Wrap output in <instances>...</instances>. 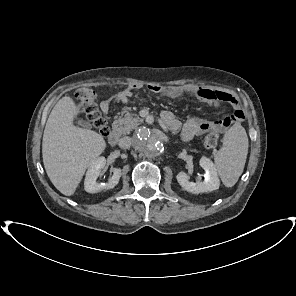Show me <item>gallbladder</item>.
<instances>
[{"instance_id": "1", "label": "gallbladder", "mask_w": 296, "mask_h": 296, "mask_svg": "<svg viewBox=\"0 0 296 296\" xmlns=\"http://www.w3.org/2000/svg\"><path fill=\"white\" fill-rule=\"evenodd\" d=\"M75 123L77 125H80V126L85 127V128L90 127V124L88 122H86V121H83V120H77V121H75Z\"/></svg>"}]
</instances>
